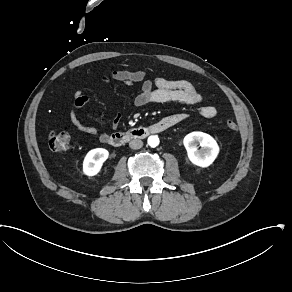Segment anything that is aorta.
<instances>
[{"instance_id":"1","label":"aorta","mask_w":292,"mask_h":292,"mask_svg":"<svg viewBox=\"0 0 292 292\" xmlns=\"http://www.w3.org/2000/svg\"><path fill=\"white\" fill-rule=\"evenodd\" d=\"M159 144V138L157 136H150L148 138V145L151 147H156Z\"/></svg>"}]
</instances>
